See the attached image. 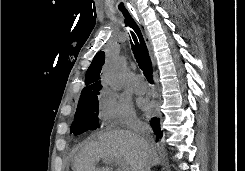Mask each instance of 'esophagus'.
<instances>
[{
    "instance_id": "esophagus-1",
    "label": "esophagus",
    "mask_w": 245,
    "mask_h": 171,
    "mask_svg": "<svg viewBox=\"0 0 245 171\" xmlns=\"http://www.w3.org/2000/svg\"><path fill=\"white\" fill-rule=\"evenodd\" d=\"M126 8L133 15V17L136 19L137 23L139 24V26L142 29V32H143V35H144V40H145V43L147 45V49H148V52H149V55H150L152 64H153V66H155V64H156V58H155V55H154L153 45H152V41L150 39V36H149L146 28L142 24V22L139 20V18L137 17V15L134 13L133 8L129 4H126Z\"/></svg>"
}]
</instances>
